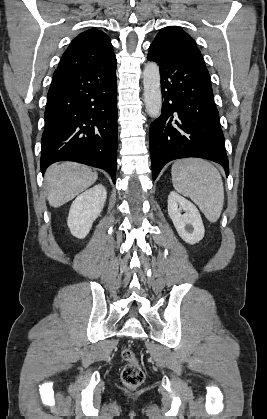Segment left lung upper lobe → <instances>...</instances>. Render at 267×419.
Masks as SVG:
<instances>
[{"mask_svg": "<svg viewBox=\"0 0 267 419\" xmlns=\"http://www.w3.org/2000/svg\"><path fill=\"white\" fill-rule=\"evenodd\" d=\"M164 53L182 56L205 66L195 41L183 30L168 26L163 28L150 45Z\"/></svg>", "mask_w": 267, "mask_h": 419, "instance_id": "5c2ea615", "label": "left lung upper lobe"}]
</instances>
